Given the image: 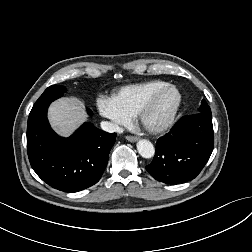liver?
Returning a JSON list of instances; mask_svg holds the SVG:
<instances>
[{"label":"liver","mask_w":252,"mask_h":252,"mask_svg":"<svg viewBox=\"0 0 252 252\" xmlns=\"http://www.w3.org/2000/svg\"><path fill=\"white\" fill-rule=\"evenodd\" d=\"M48 118L52 128L59 135L68 137L87 120V115L79 99L65 97L50 105Z\"/></svg>","instance_id":"obj_1"}]
</instances>
